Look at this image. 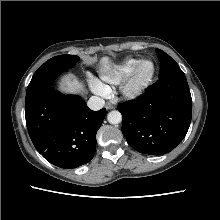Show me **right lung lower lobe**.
I'll use <instances>...</instances> for the list:
<instances>
[{
    "mask_svg": "<svg viewBox=\"0 0 220 220\" xmlns=\"http://www.w3.org/2000/svg\"><path fill=\"white\" fill-rule=\"evenodd\" d=\"M106 109L92 111L77 95H63L49 87L26 100L25 118L37 151L65 169L89 162L96 150V133Z\"/></svg>",
    "mask_w": 220,
    "mask_h": 220,
    "instance_id": "98d812e1",
    "label": "right lung lower lobe"
}]
</instances>
